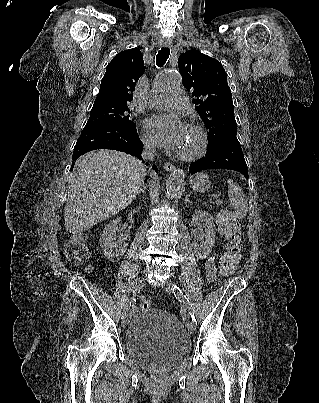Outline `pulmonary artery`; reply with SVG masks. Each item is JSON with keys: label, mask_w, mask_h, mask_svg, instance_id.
Listing matches in <instances>:
<instances>
[{"label": "pulmonary artery", "mask_w": 319, "mask_h": 403, "mask_svg": "<svg viewBox=\"0 0 319 403\" xmlns=\"http://www.w3.org/2000/svg\"><path fill=\"white\" fill-rule=\"evenodd\" d=\"M152 107L183 109L188 106V99L180 88L172 89L149 102Z\"/></svg>", "instance_id": "pulmonary-artery-1"}]
</instances>
